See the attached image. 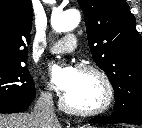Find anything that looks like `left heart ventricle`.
Returning <instances> with one entry per match:
<instances>
[{"label":"left heart ventricle","instance_id":"b2bd125f","mask_svg":"<svg viewBox=\"0 0 142 128\" xmlns=\"http://www.w3.org/2000/svg\"><path fill=\"white\" fill-rule=\"evenodd\" d=\"M65 97L75 107L93 109L103 103L105 89L96 75L78 71L77 84Z\"/></svg>","mask_w":142,"mask_h":128}]
</instances>
